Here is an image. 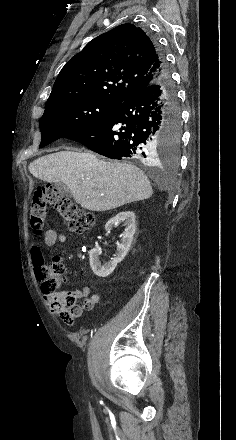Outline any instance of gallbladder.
Returning <instances> with one entry per match:
<instances>
[{"label":"gallbladder","instance_id":"gallbladder-1","mask_svg":"<svg viewBox=\"0 0 236 440\" xmlns=\"http://www.w3.org/2000/svg\"><path fill=\"white\" fill-rule=\"evenodd\" d=\"M54 187L58 190L61 195L71 196V192L68 189L67 185L63 182L54 183Z\"/></svg>","mask_w":236,"mask_h":440}]
</instances>
